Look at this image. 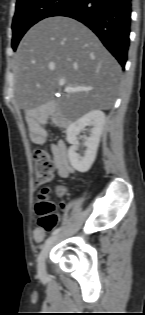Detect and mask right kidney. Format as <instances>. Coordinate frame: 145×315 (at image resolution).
Here are the masks:
<instances>
[{
  "label": "right kidney",
  "mask_w": 145,
  "mask_h": 315,
  "mask_svg": "<svg viewBox=\"0 0 145 315\" xmlns=\"http://www.w3.org/2000/svg\"><path fill=\"white\" fill-rule=\"evenodd\" d=\"M105 124V114L101 110H92L83 115L77 121L71 123L66 130V140L71 144L68 150V157L72 167L81 172H87L94 163L100 142V137ZM86 126H92L90 137L86 140V150L84 156L77 153V135Z\"/></svg>",
  "instance_id": "1"
}]
</instances>
